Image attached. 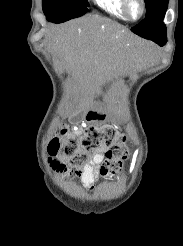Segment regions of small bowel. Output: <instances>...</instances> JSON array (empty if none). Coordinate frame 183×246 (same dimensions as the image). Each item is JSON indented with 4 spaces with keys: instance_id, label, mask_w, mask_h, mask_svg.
Wrapping results in <instances>:
<instances>
[{
    "instance_id": "1",
    "label": "small bowel",
    "mask_w": 183,
    "mask_h": 246,
    "mask_svg": "<svg viewBox=\"0 0 183 246\" xmlns=\"http://www.w3.org/2000/svg\"><path fill=\"white\" fill-rule=\"evenodd\" d=\"M103 151H99L90 160V162L82 169L73 171L68 169L64 164L58 161H52V166L55 171L64 175L75 174L77 181L84 188L90 190L94 187V184L99 175V165L103 161Z\"/></svg>"
}]
</instances>
